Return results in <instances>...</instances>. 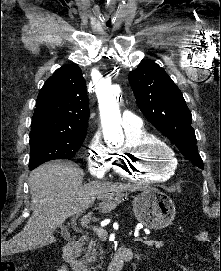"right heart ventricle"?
Wrapping results in <instances>:
<instances>
[{
	"instance_id": "1",
	"label": "right heart ventricle",
	"mask_w": 221,
	"mask_h": 271,
	"mask_svg": "<svg viewBox=\"0 0 221 271\" xmlns=\"http://www.w3.org/2000/svg\"><path fill=\"white\" fill-rule=\"evenodd\" d=\"M153 133L148 130H143L139 133L128 135L125 139V143L122 144L121 151L122 153H131L133 148H125V145H134V147L139 150L140 144H152L153 143ZM140 158V155H138ZM164 162H155V167H167L166 171H147V174H141V171H132V174H125L124 172H130L132 169L131 164H114L112 167L115 169V172H118L120 179H133V183H148L152 181L155 183L157 179H161V183H170L172 178L171 171L168 167H175V162L169 158H165ZM168 161V162H167ZM137 168V167H136Z\"/></svg>"
}]
</instances>
